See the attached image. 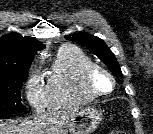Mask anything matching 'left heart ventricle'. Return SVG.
Wrapping results in <instances>:
<instances>
[{
  "instance_id": "left-heart-ventricle-1",
  "label": "left heart ventricle",
  "mask_w": 153,
  "mask_h": 134,
  "mask_svg": "<svg viewBox=\"0 0 153 134\" xmlns=\"http://www.w3.org/2000/svg\"><path fill=\"white\" fill-rule=\"evenodd\" d=\"M93 86L98 91H108L111 88V82L107 76L102 73H96L93 77Z\"/></svg>"
}]
</instances>
